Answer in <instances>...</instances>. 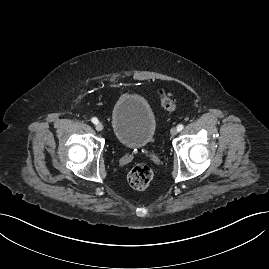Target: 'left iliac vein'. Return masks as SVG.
<instances>
[{"label": "left iliac vein", "instance_id": "1", "mask_svg": "<svg viewBox=\"0 0 269 269\" xmlns=\"http://www.w3.org/2000/svg\"><path fill=\"white\" fill-rule=\"evenodd\" d=\"M177 133H178V129H177L176 127L171 128V130H170V134H171L172 136H175Z\"/></svg>", "mask_w": 269, "mask_h": 269}]
</instances>
